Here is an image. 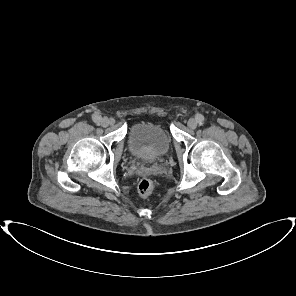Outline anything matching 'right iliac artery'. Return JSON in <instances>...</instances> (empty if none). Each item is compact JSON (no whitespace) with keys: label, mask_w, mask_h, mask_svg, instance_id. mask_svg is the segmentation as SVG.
Instances as JSON below:
<instances>
[{"label":"right iliac artery","mask_w":296,"mask_h":296,"mask_svg":"<svg viewBox=\"0 0 296 296\" xmlns=\"http://www.w3.org/2000/svg\"><path fill=\"white\" fill-rule=\"evenodd\" d=\"M93 120H94V122L99 123L100 120H101V117L95 115V116L93 117Z\"/></svg>","instance_id":"right-iliac-artery-1"}]
</instances>
